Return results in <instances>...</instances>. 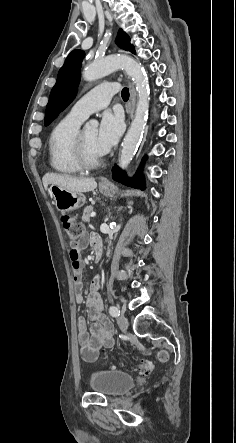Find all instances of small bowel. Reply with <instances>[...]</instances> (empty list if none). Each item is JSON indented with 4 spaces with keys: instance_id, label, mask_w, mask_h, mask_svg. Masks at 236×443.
Segmentation results:
<instances>
[{
    "instance_id": "1",
    "label": "small bowel",
    "mask_w": 236,
    "mask_h": 443,
    "mask_svg": "<svg viewBox=\"0 0 236 443\" xmlns=\"http://www.w3.org/2000/svg\"><path fill=\"white\" fill-rule=\"evenodd\" d=\"M89 241L93 249L101 245V241L97 236H91L87 239L82 236L80 239V246L78 251L83 248L86 242ZM71 257V253H70ZM81 266L82 262L80 260ZM83 266L80 271L74 270V289L75 300L78 305L84 306L88 312L89 318L92 320V328L89 329L85 317H79L77 320L78 342L81 347V354L84 357L86 353L90 354L91 358L87 361H94L98 357V352L101 348H110L113 346L112 325L110 321L102 313V298L99 293L100 277H96L89 288L87 298L83 295Z\"/></svg>"
}]
</instances>
